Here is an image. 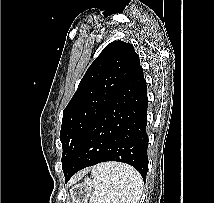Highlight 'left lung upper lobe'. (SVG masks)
Wrapping results in <instances>:
<instances>
[{"label":"left lung upper lobe","instance_id":"1","mask_svg":"<svg viewBox=\"0 0 214 203\" xmlns=\"http://www.w3.org/2000/svg\"><path fill=\"white\" fill-rule=\"evenodd\" d=\"M139 66L133 45L120 40L109 43L90 65L63 111L60 141L64 172L95 119Z\"/></svg>","mask_w":214,"mask_h":203}]
</instances>
